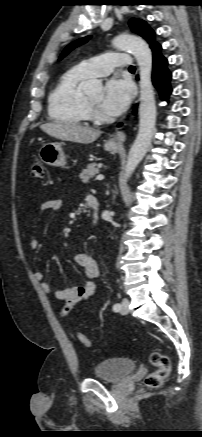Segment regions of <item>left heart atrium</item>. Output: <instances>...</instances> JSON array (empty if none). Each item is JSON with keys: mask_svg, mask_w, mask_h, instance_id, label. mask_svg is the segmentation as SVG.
I'll list each match as a JSON object with an SVG mask.
<instances>
[{"mask_svg": "<svg viewBox=\"0 0 202 437\" xmlns=\"http://www.w3.org/2000/svg\"><path fill=\"white\" fill-rule=\"evenodd\" d=\"M133 96L132 85L123 79H111L105 86L100 106L110 115L121 114L129 105Z\"/></svg>", "mask_w": 202, "mask_h": 437, "instance_id": "left-heart-atrium-1", "label": "left heart atrium"}]
</instances>
